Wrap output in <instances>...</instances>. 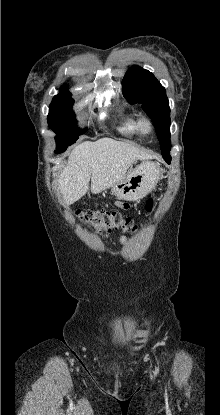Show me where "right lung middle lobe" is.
<instances>
[{
  "label": "right lung middle lobe",
  "mask_w": 220,
  "mask_h": 415,
  "mask_svg": "<svg viewBox=\"0 0 220 415\" xmlns=\"http://www.w3.org/2000/svg\"><path fill=\"white\" fill-rule=\"evenodd\" d=\"M73 99L68 94H59L54 96L49 109L47 118L49 127L57 133L55 137L57 142V150L60 153L75 143L78 136L83 134L85 130L76 128V120L72 111Z\"/></svg>",
  "instance_id": "dd1d6c3e"
}]
</instances>
